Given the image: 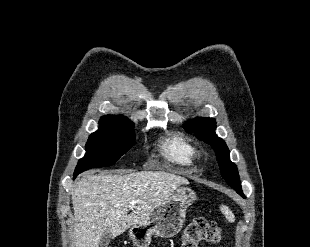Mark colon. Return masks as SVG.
<instances>
[{
	"label": "colon",
	"mask_w": 310,
	"mask_h": 247,
	"mask_svg": "<svg viewBox=\"0 0 310 247\" xmlns=\"http://www.w3.org/2000/svg\"><path fill=\"white\" fill-rule=\"evenodd\" d=\"M221 229L217 223L204 218H195L184 229L181 247H198L201 241L218 243Z\"/></svg>",
	"instance_id": "colon-1"
}]
</instances>
